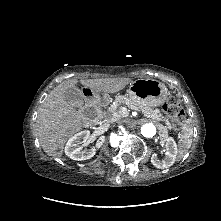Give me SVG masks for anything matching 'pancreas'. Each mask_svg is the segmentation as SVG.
I'll return each instance as SVG.
<instances>
[{
	"instance_id": "cf45deb5",
	"label": "pancreas",
	"mask_w": 221,
	"mask_h": 221,
	"mask_svg": "<svg viewBox=\"0 0 221 221\" xmlns=\"http://www.w3.org/2000/svg\"><path fill=\"white\" fill-rule=\"evenodd\" d=\"M122 105H127L131 109L141 111L144 116L152 120L164 122L168 129L172 128L169 118L163 116L158 109L153 110L151 107L141 106L131 101L126 96H117L114 103L107 109V111L103 113V117L108 119L109 121L125 117L127 113L122 111Z\"/></svg>"
}]
</instances>
